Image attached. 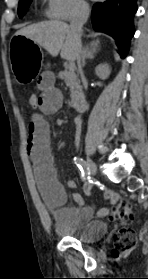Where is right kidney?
Returning a JSON list of instances; mask_svg holds the SVG:
<instances>
[{"instance_id": "right-kidney-1", "label": "right kidney", "mask_w": 148, "mask_h": 279, "mask_svg": "<svg viewBox=\"0 0 148 279\" xmlns=\"http://www.w3.org/2000/svg\"><path fill=\"white\" fill-rule=\"evenodd\" d=\"M110 71V66L107 63L100 64L95 68L96 75L102 80L109 77Z\"/></svg>"}]
</instances>
